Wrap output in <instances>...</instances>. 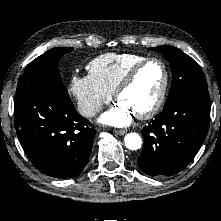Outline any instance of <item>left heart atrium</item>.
<instances>
[{"instance_id":"left-heart-atrium-1","label":"left heart atrium","mask_w":221,"mask_h":221,"mask_svg":"<svg viewBox=\"0 0 221 221\" xmlns=\"http://www.w3.org/2000/svg\"><path fill=\"white\" fill-rule=\"evenodd\" d=\"M135 114L122 102H117L100 117V122L106 125L123 127L131 123Z\"/></svg>"}]
</instances>
